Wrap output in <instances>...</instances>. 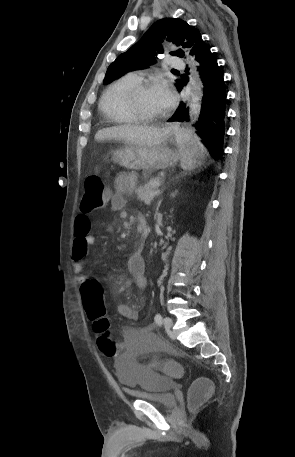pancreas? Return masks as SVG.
I'll return each instance as SVG.
<instances>
[{
    "instance_id": "cf45deb5",
    "label": "pancreas",
    "mask_w": 295,
    "mask_h": 457,
    "mask_svg": "<svg viewBox=\"0 0 295 457\" xmlns=\"http://www.w3.org/2000/svg\"><path fill=\"white\" fill-rule=\"evenodd\" d=\"M157 181L160 182L159 179H151L147 184L144 186H140L136 189V194L140 201L150 204L153 198L157 195L156 191L158 187H154L153 183Z\"/></svg>"
}]
</instances>
